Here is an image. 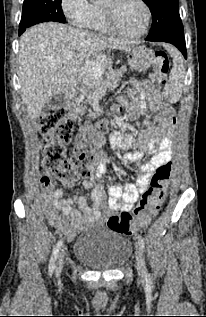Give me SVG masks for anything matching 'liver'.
<instances>
[{"instance_id": "obj_1", "label": "liver", "mask_w": 206, "mask_h": 317, "mask_svg": "<svg viewBox=\"0 0 206 317\" xmlns=\"http://www.w3.org/2000/svg\"><path fill=\"white\" fill-rule=\"evenodd\" d=\"M135 44L55 22L28 29L20 38L18 76L21 98L31 119L40 115L54 95L70 94L89 59L105 49L126 50ZM67 52L76 55L67 63H60Z\"/></svg>"}]
</instances>
